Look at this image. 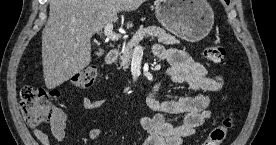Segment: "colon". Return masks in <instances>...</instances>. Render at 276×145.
I'll use <instances>...</instances> for the list:
<instances>
[{"instance_id":"colon-1","label":"colon","mask_w":276,"mask_h":145,"mask_svg":"<svg viewBox=\"0 0 276 145\" xmlns=\"http://www.w3.org/2000/svg\"><path fill=\"white\" fill-rule=\"evenodd\" d=\"M204 56L209 62L220 64L225 57V48L221 45L207 46L204 49ZM97 76L98 69L94 66H87L73 75L71 83L77 88H89L94 84ZM58 95L54 89L31 85L24 86L20 92V108L26 123L33 127H39L51 121L55 114L53 100ZM232 125V117H225L212 128L202 145H221Z\"/></svg>"}]
</instances>
